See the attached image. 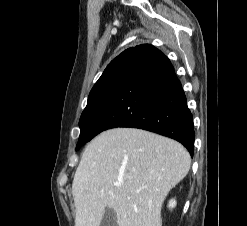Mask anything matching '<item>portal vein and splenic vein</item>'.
Returning <instances> with one entry per match:
<instances>
[{
	"instance_id": "18ae733b",
	"label": "portal vein and splenic vein",
	"mask_w": 247,
	"mask_h": 226,
	"mask_svg": "<svg viewBox=\"0 0 247 226\" xmlns=\"http://www.w3.org/2000/svg\"><path fill=\"white\" fill-rule=\"evenodd\" d=\"M116 186H121V184L120 183H117Z\"/></svg>"
}]
</instances>
